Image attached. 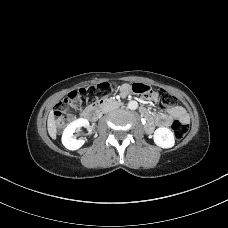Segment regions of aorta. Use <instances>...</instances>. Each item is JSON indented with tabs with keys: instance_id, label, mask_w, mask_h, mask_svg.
Returning <instances> with one entry per match:
<instances>
[{
	"instance_id": "1",
	"label": "aorta",
	"mask_w": 228,
	"mask_h": 228,
	"mask_svg": "<svg viewBox=\"0 0 228 228\" xmlns=\"http://www.w3.org/2000/svg\"><path fill=\"white\" fill-rule=\"evenodd\" d=\"M137 107H138L137 101H134V100L129 101L128 108L130 110H135V109H137Z\"/></svg>"
}]
</instances>
